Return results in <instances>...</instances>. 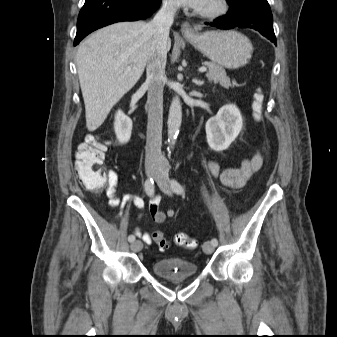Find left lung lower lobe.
<instances>
[{"label":"left lung lower lobe","mask_w":337,"mask_h":337,"mask_svg":"<svg viewBox=\"0 0 337 337\" xmlns=\"http://www.w3.org/2000/svg\"><path fill=\"white\" fill-rule=\"evenodd\" d=\"M219 29H233L235 27L251 28L259 31L276 45L273 30V17L267 0H246L230 7L225 16L206 23Z\"/></svg>","instance_id":"1"}]
</instances>
